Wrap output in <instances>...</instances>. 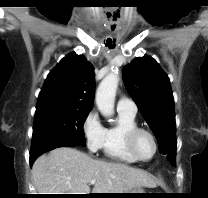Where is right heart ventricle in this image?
<instances>
[{"instance_id":"right-heart-ventricle-1","label":"right heart ventricle","mask_w":208,"mask_h":198,"mask_svg":"<svg viewBox=\"0 0 208 198\" xmlns=\"http://www.w3.org/2000/svg\"><path fill=\"white\" fill-rule=\"evenodd\" d=\"M137 126L136 115L118 111L117 124L105 128L102 146L105 157L125 164L137 163L126 143L128 131Z\"/></svg>"}]
</instances>
